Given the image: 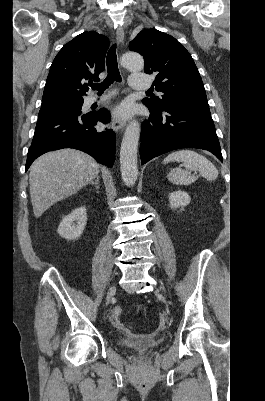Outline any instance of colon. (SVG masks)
Wrapping results in <instances>:
<instances>
[{"label":"colon","mask_w":265,"mask_h":401,"mask_svg":"<svg viewBox=\"0 0 265 401\" xmlns=\"http://www.w3.org/2000/svg\"><path fill=\"white\" fill-rule=\"evenodd\" d=\"M122 308L121 307H116L114 308L112 315H111V320L115 325H119V318L122 315Z\"/></svg>","instance_id":"obj_1"}]
</instances>
